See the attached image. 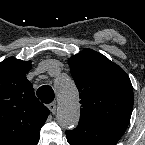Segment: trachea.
I'll use <instances>...</instances> for the list:
<instances>
[{"instance_id":"trachea-1","label":"trachea","mask_w":145,"mask_h":145,"mask_svg":"<svg viewBox=\"0 0 145 145\" xmlns=\"http://www.w3.org/2000/svg\"><path fill=\"white\" fill-rule=\"evenodd\" d=\"M38 98L43 103H51L54 100V91L53 89L48 85H43L40 88H38L36 92Z\"/></svg>"}]
</instances>
